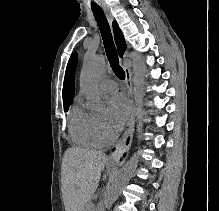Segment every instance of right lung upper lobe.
I'll return each mask as SVG.
<instances>
[{
	"mask_svg": "<svg viewBox=\"0 0 219 211\" xmlns=\"http://www.w3.org/2000/svg\"><path fill=\"white\" fill-rule=\"evenodd\" d=\"M114 36L115 42L118 48L119 55L122 57L125 49L126 43L123 37L121 30L118 27V24L113 22ZM77 63V58L75 54H72L71 58L68 61V65L66 68L65 79H64V87H63V103L65 105H71L74 97V73L75 66Z\"/></svg>",
	"mask_w": 219,
	"mask_h": 211,
	"instance_id": "1",
	"label": "right lung upper lobe"
}]
</instances>
